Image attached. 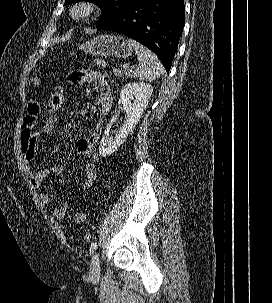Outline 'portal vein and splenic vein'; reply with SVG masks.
<instances>
[{
    "label": "portal vein and splenic vein",
    "instance_id": "obj_1",
    "mask_svg": "<svg viewBox=\"0 0 272 303\" xmlns=\"http://www.w3.org/2000/svg\"><path fill=\"white\" fill-rule=\"evenodd\" d=\"M123 68H124V69H128V68H129V65H128V64H124V65H123Z\"/></svg>",
    "mask_w": 272,
    "mask_h": 303
}]
</instances>
